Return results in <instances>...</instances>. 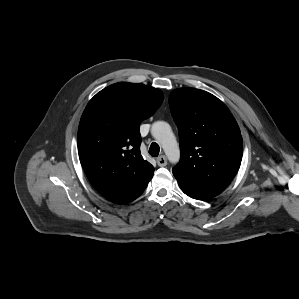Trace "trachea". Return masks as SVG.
<instances>
[{
    "label": "trachea",
    "mask_w": 299,
    "mask_h": 299,
    "mask_svg": "<svg viewBox=\"0 0 299 299\" xmlns=\"http://www.w3.org/2000/svg\"><path fill=\"white\" fill-rule=\"evenodd\" d=\"M160 152V147L157 143L153 142L149 148V154L153 157H158Z\"/></svg>",
    "instance_id": "1"
}]
</instances>
